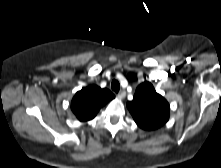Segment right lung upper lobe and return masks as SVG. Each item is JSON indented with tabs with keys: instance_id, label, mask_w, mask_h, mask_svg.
Returning <instances> with one entry per match:
<instances>
[{
	"instance_id": "right-lung-upper-lobe-1",
	"label": "right lung upper lobe",
	"mask_w": 221,
	"mask_h": 168,
	"mask_svg": "<svg viewBox=\"0 0 221 168\" xmlns=\"http://www.w3.org/2000/svg\"><path fill=\"white\" fill-rule=\"evenodd\" d=\"M114 94L96 85L82 88L71 101V110L78 118L84 122L93 119L100 108L114 98Z\"/></svg>"
}]
</instances>
